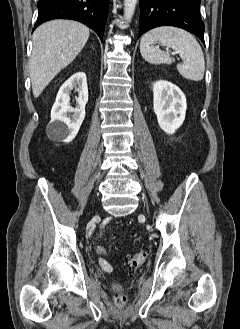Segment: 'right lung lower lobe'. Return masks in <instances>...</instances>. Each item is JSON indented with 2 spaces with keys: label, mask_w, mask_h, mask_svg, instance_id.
<instances>
[{
  "label": "right lung lower lobe",
  "mask_w": 240,
  "mask_h": 329,
  "mask_svg": "<svg viewBox=\"0 0 240 329\" xmlns=\"http://www.w3.org/2000/svg\"><path fill=\"white\" fill-rule=\"evenodd\" d=\"M37 7L39 14L35 28L49 20L71 19L90 27L102 41L109 0H39Z\"/></svg>",
  "instance_id": "obj_1"
}]
</instances>
